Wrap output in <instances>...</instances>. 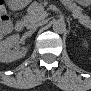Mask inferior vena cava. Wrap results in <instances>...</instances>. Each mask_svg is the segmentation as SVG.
<instances>
[{"label":"inferior vena cava","mask_w":91,"mask_h":91,"mask_svg":"<svg viewBox=\"0 0 91 91\" xmlns=\"http://www.w3.org/2000/svg\"><path fill=\"white\" fill-rule=\"evenodd\" d=\"M43 24H44L43 21L32 22V23L27 25V28L36 29L38 26H41Z\"/></svg>","instance_id":"602c4592"}]
</instances>
